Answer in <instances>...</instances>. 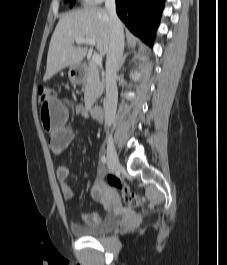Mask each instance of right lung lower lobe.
Here are the masks:
<instances>
[{"mask_svg": "<svg viewBox=\"0 0 227 265\" xmlns=\"http://www.w3.org/2000/svg\"><path fill=\"white\" fill-rule=\"evenodd\" d=\"M165 0H116V12L135 35L152 45Z\"/></svg>", "mask_w": 227, "mask_h": 265, "instance_id": "right-lung-lower-lobe-1", "label": "right lung lower lobe"}]
</instances>
